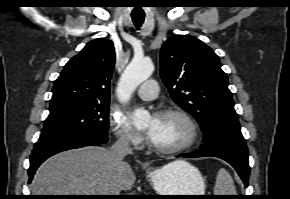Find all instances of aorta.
I'll return each mask as SVG.
<instances>
[{
    "instance_id": "1",
    "label": "aorta",
    "mask_w": 290,
    "mask_h": 199,
    "mask_svg": "<svg viewBox=\"0 0 290 199\" xmlns=\"http://www.w3.org/2000/svg\"><path fill=\"white\" fill-rule=\"evenodd\" d=\"M154 71V65L146 59L134 58L126 67L118 84L117 93L120 101L126 103L133 91L145 80H147ZM133 125L140 129L147 125L150 115L146 110L137 109L131 116Z\"/></svg>"
}]
</instances>
